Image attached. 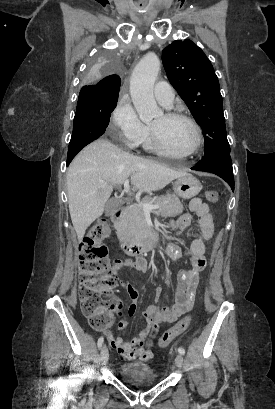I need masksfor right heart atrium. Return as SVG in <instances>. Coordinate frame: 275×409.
I'll return each instance as SVG.
<instances>
[{
  "mask_svg": "<svg viewBox=\"0 0 275 409\" xmlns=\"http://www.w3.org/2000/svg\"><path fill=\"white\" fill-rule=\"evenodd\" d=\"M115 143H125V152H135L142 144L147 126L126 101H119L111 114Z\"/></svg>",
  "mask_w": 275,
  "mask_h": 409,
  "instance_id": "obj_1",
  "label": "right heart atrium"
}]
</instances>
